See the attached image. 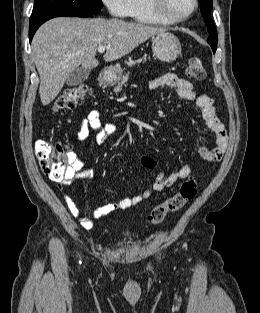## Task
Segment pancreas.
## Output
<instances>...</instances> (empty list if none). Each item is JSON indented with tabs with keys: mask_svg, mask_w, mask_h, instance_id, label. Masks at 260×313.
Here are the masks:
<instances>
[{
	"mask_svg": "<svg viewBox=\"0 0 260 313\" xmlns=\"http://www.w3.org/2000/svg\"><path fill=\"white\" fill-rule=\"evenodd\" d=\"M129 79V73L123 75L118 81L117 86L114 88L115 93H119L122 90V87L125 85L127 80Z\"/></svg>",
	"mask_w": 260,
	"mask_h": 313,
	"instance_id": "cf45deb5",
	"label": "pancreas"
}]
</instances>
